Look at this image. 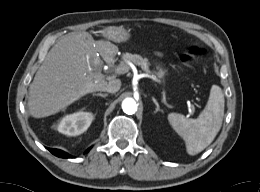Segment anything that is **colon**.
<instances>
[{
    "label": "colon",
    "instance_id": "5ec220e1",
    "mask_svg": "<svg viewBox=\"0 0 260 192\" xmlns=\"http://www.w3.org/2000/svg\"><path fill=\"white\" fill-rule=\"evenodd\" d=\"M205 50L198 46H193L189 48L186 54L182 55L180 58V62L183 65H190L196 60H200L204 57Z\"/></svg>",
    "mask_w": 260,
    "mask_h": 192
}]
</instances>
